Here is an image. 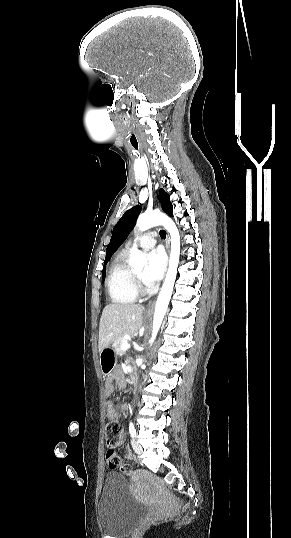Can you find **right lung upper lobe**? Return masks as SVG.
<instances>
[{
    "label": "right lung upper lobe",
    "mask_w": 291,
    "mask_h": 538,
    "mask_svg": "<svg viewBox=\"0 0 291 538\" xmlns=\"http://www.w3.org/2000/svg\"><path fill=\"white\" fill-rule=\"evenodd\" d=\"M108 259H109V255H108V247H107V249H106V258H105L104 263L108 262Z\"/></svg>",
    "instance_id": "1"
}]
</instances>
